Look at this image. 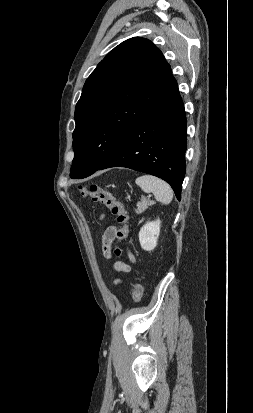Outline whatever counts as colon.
I'll return each instance as SVG.
<instances>
[{
    "instance_id": "1",
    "label": "colon",
    "mask_w": 253,
    "mask_h": 413,
    "mask_svg": "<svg viewBox=\"0 0 253 413\" xmlns=\"http://www.w3.org/2000/svg\"><path fill=\"white\" fill-rule=\"evenodd\" d=\"M82 196L89 197L95 202H98L107 207L111 213L116 217L117 222L120 224L119 229L116 231L117 242H122L127 239L129 234V215L124 204L118 200L111 192L97 186V185H78ZM114 255L120 257L122 250L120 247H115ZM133 294V299L136 303L142 300L143 288L139 281H135L130 286Z\"/></svg>"
}]
</instances>
